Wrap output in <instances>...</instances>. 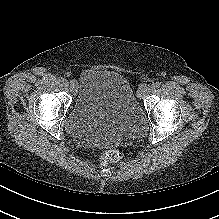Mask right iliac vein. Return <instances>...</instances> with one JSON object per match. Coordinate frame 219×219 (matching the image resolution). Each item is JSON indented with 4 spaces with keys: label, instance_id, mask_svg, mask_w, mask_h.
<instances>
[{
    "label": "right iliac vein",
    "instance_id": "right-iliac-vein-1",
    "mask_svg": "<svg viewBox=\"0 0 219 219\" xmlns=\"http://www.w3.org/2000/svg\"><path fill=\"white\" fill-rule=\"evenodd\" d=\"M64 84L66 85V86H68L69 88H70V90H74L75 89V86H76V83H75V81L74 80H70V81H65L64 82Z\"/></svg>",
    "mask_w": 219,
    "mask_h": 219
}]
</instances>
